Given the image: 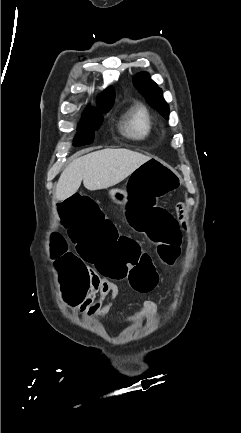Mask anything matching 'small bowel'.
Masks as SVG:
<instances>
[{
  "label": "small bowel",
  "mask_w": 241,
  "mask_h": 433,
  "mask_svg": "<svg viewBox=\"0 0 241 433\" xmlns=\"http://www.w3.org/2000/svg\"><path fill=\"white\" fill-rule=\"evenodd\" d=\"M134 172H136V170ZM177 217L180 219L179 226H181L182 229H186L187 218L185 206L183 204H180L177 207ZM82 263H84L83 260ZM86 267H88L91 272V291L87 292V298L84 305H74V309L78 314L87 317H103L110 312L119 294V287L112 280L102 277L98 272L92 270V267L89 265ZM156 311V303L152 300H145L142 303L140 310L134 315L126 318L125 321L129 323H139L144 320H149L156 315Z\"/></svg>",
  "instance_id": "obj_1"
}]
</instances>
